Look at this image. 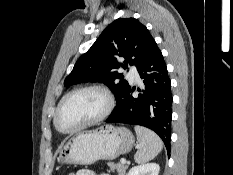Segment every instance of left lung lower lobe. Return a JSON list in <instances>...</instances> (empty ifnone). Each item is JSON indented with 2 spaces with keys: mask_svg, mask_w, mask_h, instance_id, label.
Listing matches in <instances>:
<instances>
[{
  "mask_svg": "<svg viewBox=\"0 0 233 175\" xmlns=\"http://www.w3.org/2000/svg\"><path fill=\"white\" fill-rule=\"evenodd\" d=\"M138 73L145 88H138L140 94L134 98L131 92L135 87H130L106 122L141 125L153 130L163 140L170 155L173 97L167 67L157 45L139 67Z\"/></svg>",
  "mask_w": 233,
  "mask_h": 175,
  "instance_id": "obj_1",
  "label": "left lung lower lobe"
}]
</instances>
